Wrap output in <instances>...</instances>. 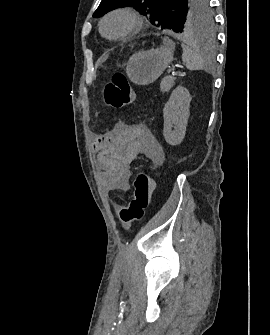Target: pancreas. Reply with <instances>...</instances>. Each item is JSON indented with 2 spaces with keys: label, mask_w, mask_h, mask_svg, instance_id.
<instances>
[{
  "label": "pancreas",
  "mask_w": 270,
  "mask_h": 335,
  "mask_svg": "<svg viewBox=\"0 0 270 335\" xmlns=\"http://www.w3.org/2000/svg\"><path fill=\"white\" fill-rule=\"evenodd\" d=\"M174 80L175 78H173V76H165V78H163L161 84H160V88H161V92H169V90H171L172 86H174Z\"/></svg>",
  "instance_id": "1"
}]
</instances>
